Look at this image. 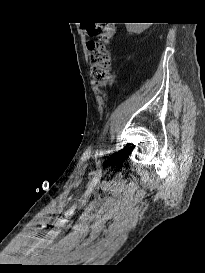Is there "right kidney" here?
I'll return each instance as SVG.
<instances>
[{
	"label": "right kidney",
	"instance_id": "right-kidney-1",
	"mask_svg": "<svg viewBox=\"0 0 205 273\" xmlns=\"http://www.w3.org/2000/svg\"><path fill=\"white\" fill-rule=\"evenodd\" d=\"M146 28L147 26H131V24H127V30L129 32L140 33Z\"/></svg>",
	"mask_w": 205,
	"mask_h": 273
}]
</instances>
